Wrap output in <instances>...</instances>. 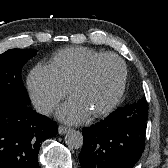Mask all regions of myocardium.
Here are the masks:
<instances>
[{"label": "myocardium", "instance_id": "1", "mask_svg": "<svg viewBox=\"0 0 168 168\" xmlns=\"http://www.w3.org/2000/svg\"><path fill=\"white\" fill-rule=\"evenodd\" d=\"M106 59H114L116 60L120 67H121V79L117 88V91L112 98V100L102 109L97 110L95 112H92L91 115L95 118L106 116L110 114L119 104L121 101L125 88H126V82H127V76H128V71L125 62L121 57L114 53H104L100 55L99 57L93 59L92 61L89 62V64L86 66L84 71L77 77V79L74 81L72 86L70 87V91L72 94L75 93V91L84 83H86L92 76L94 69L96 66L101 63L102 61Z\"/></svg>", "mask_w": 168, "mask_h": 168}]
</instances>
